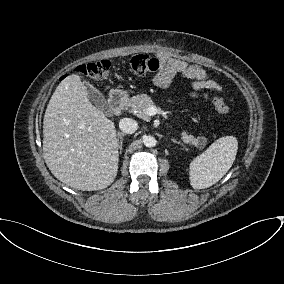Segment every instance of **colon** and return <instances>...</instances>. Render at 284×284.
Masks as SVG:
<instances>
[{
	"mask_svg": "<svg viewBox=\"0 0 284 284\" xmlns=\"http://www.w3.org/2000/svg\"><path fill=\"white\" fill-rule=\"evenodd\" d=\"M162 64L160 59L147 54L133 55L128 60L129 70L139 76H144L157 71ZM111 61L104 59L90 62L77 67V71L93 80H105L109 77ZM214 108L223 116L229 114V107L219 96L212 97Z\"/></svg>",
	"mask_w": 284,
	"mask_h": 284,
	"instance_id": "5ec220e1",
	"label": "colon"
}]
</instances>
